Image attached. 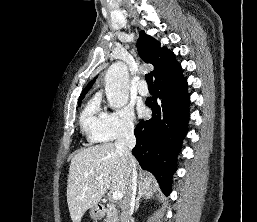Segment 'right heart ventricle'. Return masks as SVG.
<instances>
[{
    "instance_id": "right-heart-ventricle-1",
    "label": "right heart ventricle",
    "mask_w": 257,
    "mask_h": 222,
    "mask_svg": "<svg viewBox=\"0 0 257 222\" xmlns=\"http://www.w3.org/2000/svg\"><path fill=\"white\" fill-rule=\"evenodd\" d=\"M104 113L100 105V97L95 95L84 107L80 115V127L83 134L91 141H102L99 138Z\"/></svg>"
}]
</instances>
